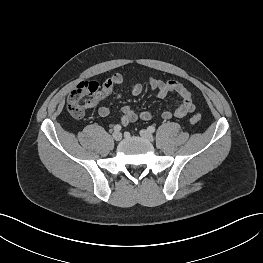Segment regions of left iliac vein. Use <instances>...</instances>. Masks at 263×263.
Returning a JSON list of instances; mask_svg holds the SVG:
<instances>
[{
    "label": "left iliac vein",
    "instance_id": "obj_1",
    "mask_svg": "<svg viewBox=\"0 0 263 263\" xmlns=\"http://www.w3.org/2000/svg\"><path fill=\"white\" fill-rule=\"evenodd\" d=\"M139 134L141 137H143L144 139L148 140V141H153L154 137L151 134L150 131L146 130V129H142L139 131Z\"/></svg>",
    "mask_w": 263,
    "mask_h": 263
}]
</instances>
